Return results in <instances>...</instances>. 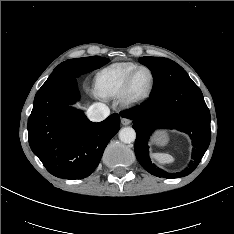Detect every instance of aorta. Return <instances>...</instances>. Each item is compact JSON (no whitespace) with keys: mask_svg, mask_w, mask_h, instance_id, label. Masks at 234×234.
Wrapping results in <instances>:
<instances>
[{"mask_svg":"<svg viewBox=\"0 0 234 234\" xmlns=\"http://www.w3.org/2000/svg\"><path fill=\"white\" fill-rule=\"evenodd\" d=\"M119 139L124 143L134 142L136 139V132L132 127H124L119 131Z\"/></svg>","mask_w":234,"mask_h":234,"instance_id":"aorta-1","label":"aorta"}]
</instances>
